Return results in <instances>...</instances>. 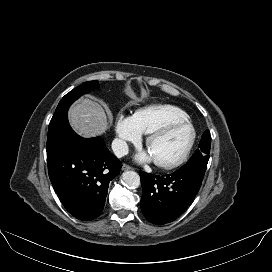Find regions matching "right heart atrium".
Listing matches in <instances>:
<instances>
[{
    "instance_id": "obj_1",
    "label": "right heart atrium",
    "mask_w": 272,
    "mask_h": 272,
    "mask_svg": "<svg viewBox=\"0 0 272 272\" xmlns=\"http://www.w3.org/2000/svg\"><path fill=\"white\" fill-rule=\"evenodd\" d=\"M116 135L115 151L118 155L127 151L128 143L136 144L141 139V133L137 130L132 117L123 114H120L117 118Z\"/></svg>"
}]
</instances>
